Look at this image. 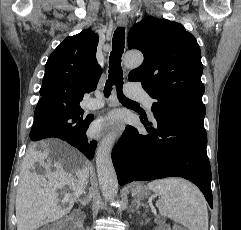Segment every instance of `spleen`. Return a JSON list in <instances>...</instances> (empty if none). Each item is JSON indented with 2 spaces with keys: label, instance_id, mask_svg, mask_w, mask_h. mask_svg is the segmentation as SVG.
I'll return each instance as SVG.
<instances>
[{
  "label": "spleen",
  "instance_id": "3e777b00",
  "mask_svg": "<svg viewBox=\"0 0 241 230\" xmlns=\"http://www.w3.org/2000/svg\"><path fill=\"white\" fill-rule=\"evenodd\" d=\"M148 188L159 200L161 215L181 223L189 230H208V212L202 193L188 181L169 178L150 182Z\"/></svg>",
  "mask_w": 241,
  "mask_h": 230
}]
</instances>
